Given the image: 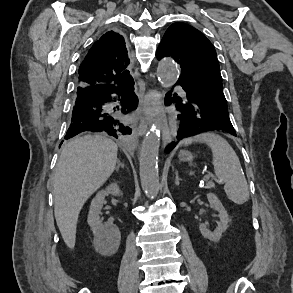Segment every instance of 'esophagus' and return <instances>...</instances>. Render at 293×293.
I'll list each match as a JSON object with an SVG mask.
<instances>
[{"mask_svg": "<svg viewBox=\"0 0 293 293\" xmlns=\"http://www.w3.org/2000/svg\"><path fill=\"white\" fill-rule=\"evenodd\" d=\"M159 104L160 94L158 91L148 90L139 105V113L144 115V117L140 119V122L136 128L139 135H144L146 133L148 125L153 117H155V112ZM161 125L163 132L167 134L169 132V128L165 115L161 116Z\"/></svg>", "mask_w": 293, "mask_h": 293, "instance_id": "1", "label": "esophagus"}]
</instances>
